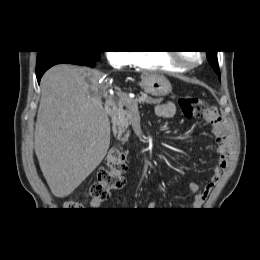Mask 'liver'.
<instances>
[{
  "mask_svg": "<svg viewBox=\"0 0 260 260\" xmlns=\"http://www.w3.org/2000/svg\"><path fill=\"white\" fill-rule=\"evenodd\" d=\"M104 76L96 69L61 64L41 79L34 149L55 197L70 195L107 154L110 121L101 100L108 87L101 83Z\"/></svg>",
  "mask_w": 260,
  "mask_h": 260,
  "instance_id": "liver-1",
  "label": "liver"
}]
</instances>
